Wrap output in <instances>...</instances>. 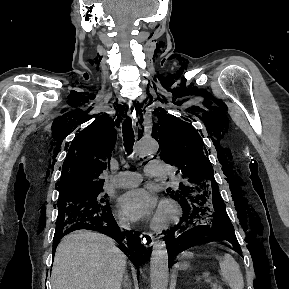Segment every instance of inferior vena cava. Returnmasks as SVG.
Masks as SVG:
<instances>
[{"label": "inferior vena cava", "mask_w": 289, "mask_h": 289, "mask_svg": "<svg viewBox=\"0 0 289 289\" xmlns=\"http://www.w3.org/2000/svg\"><path fill=\"white\" fill-rule=\"evenodd\" d=\"M120 227L124 228V229H130L129 224H125V223H120ZM127 278V277H126ZM126 280V279H125Z\"/></svg>", "instance_id": "inferior-vena-cava-1"}]
</instances>
